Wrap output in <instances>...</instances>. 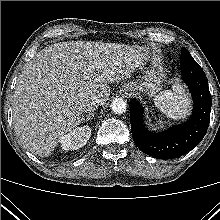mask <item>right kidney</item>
Returning a JSON list of instances; mask_svg holds the SVG:
<instances>
[{
    "instance_id": "ca27d5eb",
    "label": "right kidney",
    "mask_w": 220,
    "mask_h": 220,
    "mask_svg": "<svg viewBox=\"0 0 220 220\" xmlns=\"http://www.w3.org/2000/svg\"><path fill=\"white\" fill-rule=\"evenodd\" d=\"M90 136L91 128L88 125L77 127L61 138V148L65 151L82 148L86 145Z\"/></svg>"
}]
</instances>
